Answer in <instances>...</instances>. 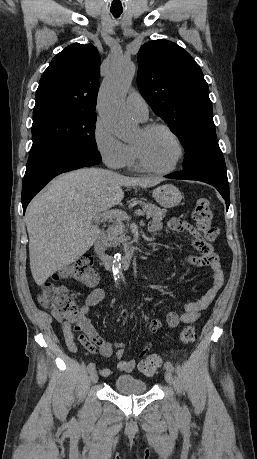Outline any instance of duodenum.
Segmentation results:
<instances>
[{
    "label": "duodenum",
    "instance_id": "duodenum-1",
    "mask_svg": "<svg viewBox=\"0 0 257 459\" xmlns=\"http://www.w3.org/2000/svg\"><path fill=\"white\" fill-rule=\"evenodd\" d=\"M104 238H105V232L102 230L95 237L94 249H95V252H96V254H97L102 266H104L105 268H111L113 266V264H114V259L111 256L105 254L104 251H103ZM134 257H135L134 252L127 251L123 255V257H122V259L120 261L122 268H124V269L130 268L132 266L133 261H134Z\"/></svg>",
    "mask_w": 257,
    "mask_h": 459
}]
</instances>
